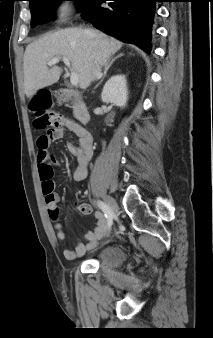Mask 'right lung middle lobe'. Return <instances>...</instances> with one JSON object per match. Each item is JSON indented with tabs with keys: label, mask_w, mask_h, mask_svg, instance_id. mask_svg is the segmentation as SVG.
I'll list each match as a JSON object with an SVG mask.
<instances>
[{
	"label": "right lung middle lobe",
	"mask_w": 213,
	"mask_h": 338,
	"mask_svg": "<svg viewBox=\"0 0 213 338\" xmlns=\"http://www.w3.org/2000/svg\"><path fill=\"white\" fill-rule=\"evenodd\" d=\"M61 1H75L79 11H83L96 0H29L31 10V26L45 23L54 18L53 11Z\"/></svg>",
	"instance_id": "obj_1"
}]
</instances>
